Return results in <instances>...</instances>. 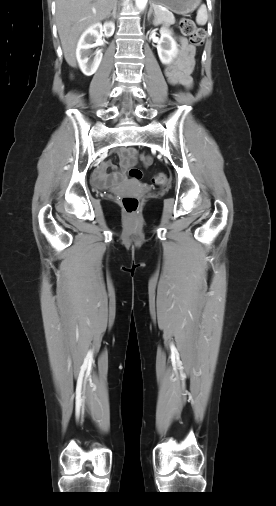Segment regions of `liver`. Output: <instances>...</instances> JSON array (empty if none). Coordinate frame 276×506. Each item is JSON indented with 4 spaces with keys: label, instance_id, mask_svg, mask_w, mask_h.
<instances>
[{
    "label": "liver",
    "instance_id": "6515ba94",
    "mask_svg": "<svg viewBox=\"0 0 276 506\" xmlns=\"http://www.w3.org/2000/svg\"><path fill=\"white\" fill-rule=\"evenodd\" d=\"M116 0H56V24L66 62L76 67V43L89 26L106 19Z\"/></svg>",
    "mask_w": 276,
    "mask_h": 506
}]
</instances>
